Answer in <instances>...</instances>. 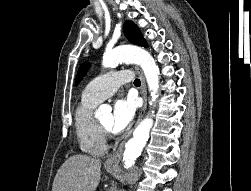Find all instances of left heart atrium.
Masks as SVG:
<instances>
[{
	"mask_svg": "<svg viewBox=\"0 0 251 191\" xmlns=\"http://www.w3.org/2000/svg\"><path fill=\"white\" fill-rule=\"evenodd\" d=\"M135 115V105L131 100H118L113 106L110 130L121 133L131 123Z\"/></svg>",
	"mask_w": 251,
	"mask_h": 191,
	"instance_id": "obj_1",
	"label": "left heart atrium"
}]
</instances>
